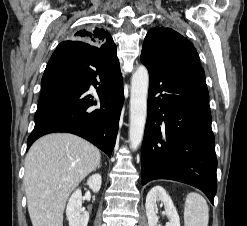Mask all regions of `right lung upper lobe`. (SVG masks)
I'll return each instance as SVG.
<instances>
[{
  "label": "right lung upper lobe",
  "instance_id": "obj_1",
  "mask_svg": "<svg viewBox=\"0 0 247 226\" xmlns=\"http://www.w3.org/2000/svg\"><path fill=\"white\" fill-rule=\"evenodd\" d=\"M74 39L103 49L116 47L110 34L98 27L79 30L74 34Z\"/></svg>",
  "mask_w": 247,
  "mask_h": 226
}]
</instances>
